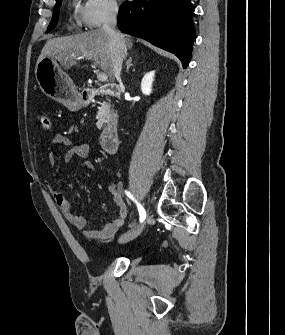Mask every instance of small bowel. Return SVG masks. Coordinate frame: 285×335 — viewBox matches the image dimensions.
<instances>
[{"label": "small bowel", "instance_id": "obj_1", "mask_svg": "<svg viewBox=\"0 0 285 335\" xmlns=\"http://www.w3.org/2000/svg\"><path fill=\"white\" fill-rule=\"evenodd\" d=\"M50 144L53 146H66L63 155L65 162H70L74 158L87 159L89 156V147L84 143L73 142L68 136L62 133H56L49 139ZM55 161V153L51 151L48 156V162L53 164ZM83 168L92 172L93 167L89 161L83 163ZM48 190L53 197L56 205L62 214L67 218L71 225L78 231L82 232L83 237L88 241L97 239L112 238L115 233L124 225L128 215L127 204L120 193L117 192L114 185H109V192L112 195L113 201L118 208L119 215L107 221L101 227L95 230H86V219L83 216L76 214L70 202L66 197L65 190H55L51 185H47Z\"/></svg>", "mask_w": 285, "mask_h": 335}]
</instances>
